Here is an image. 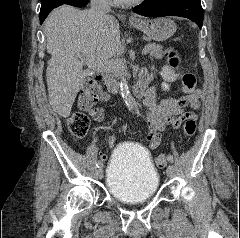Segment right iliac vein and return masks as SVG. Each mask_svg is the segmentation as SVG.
Wrapping results in <instances>:
<instances>
[{"mask_svg": "<svg viewBox=\"0 0 240 238\" xmlns=\"http://www.w3.org/2000/svg\"><path fill=\"white\" fill-rule=\"evenodd\" d=\"M103 168L100 167L98 170H97V176L99 179H102L103 178Z\"/></svg>", "mask_w": 240, "mask_h": 238, "instance_id": "63e3f726", "label": "right iliac vein"}]
</instances>
